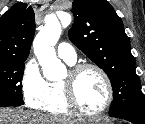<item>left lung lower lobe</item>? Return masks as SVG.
<instances>
[{"instance_id": "0a47b994", "label": "left lung lower lobe", "mask_w": 145, "mask_h": 124, "mask_svg": "<svg viewBox=\"0 0 145 124\" xmlns=\"http://www.w3.org/2000/svg\"><path fill=\"white\" fill-rule=\"evenodd\" d=\"M112 117L125 119V120L132 122L134 124H145V119L140 118V117L129 116V115H116V116H112Z\"/></svg>"}]
</instances>
